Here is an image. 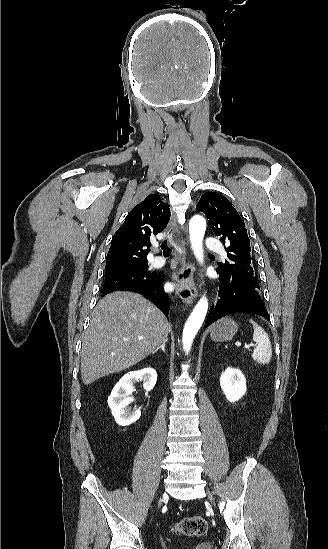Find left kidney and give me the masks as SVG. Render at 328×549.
<instances>
[{
	"label": "left kidney",
	"mask_w": 328,
	"mask_h": 549,
	"mask_svg": "<svg viewBox=\"0 0 328 549\" xmlns=\"http://www.w3.org/2000/svg\"><path fill=\"white\" fill-rule=\"evenodd\" d=\"M220 387L227 401H239L247 391L246 379L239 369L228 367L220 377Z\"/></svg>",
	"instance_id": "obj_1"
}]
</instances>
